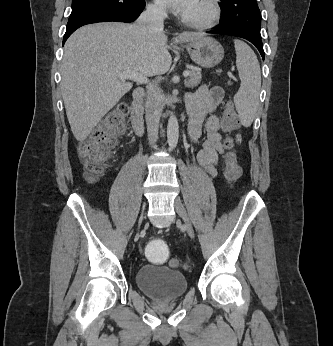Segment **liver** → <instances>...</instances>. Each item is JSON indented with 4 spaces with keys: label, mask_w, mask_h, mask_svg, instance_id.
<instances>
[{
    "label": "liver",
    "mask_w": 333,
    "mask_h": 346,
    "mask_svg": "<svg viewBox=\"0 0 333 346\" xmlns=\"http://www.w3.org/2000/svg\"><path fill=\"white\" fill-rule=\"evenodd\" d=\"M203 34L184 32L173 43L198 40ZM162 31L148 33L137 24L98 23L76 30L66 41L61 65V91L76 140L84 141L99 121L131 90L120 74L143 76L169 71L172 57Z\"/></svg>",
    "instance_id": "obj_1"
}]
</instances>
